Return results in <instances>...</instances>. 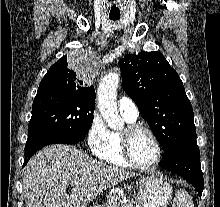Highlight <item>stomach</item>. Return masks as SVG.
Here are the masks:
<instances>
[{"instance_id":"obj_1","label":"stomach","mask_w":220,"mask_h":207,"mask_svg":"<svg viewBox=\"0 0 220 207\" xmlns=\"http://www.w3.org/2000/svg\"><path fill=\"white\" fill-rule=\"evenodd\" d=\"M136 199L142 207H167L172 188L163 177L151 173L139 180Z\"/></svg>"}]
</instances>
